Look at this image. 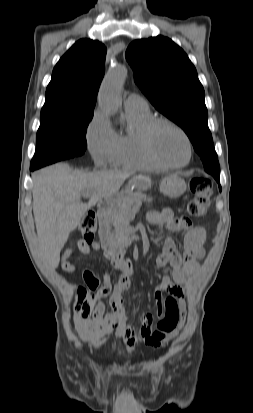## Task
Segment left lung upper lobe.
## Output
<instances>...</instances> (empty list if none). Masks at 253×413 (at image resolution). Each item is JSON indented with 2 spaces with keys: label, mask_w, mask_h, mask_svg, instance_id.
Instances as JSON below:
<instances>
[{
  "label": "left lung upper lobe",
  "mask_w": 253,
  "mask_h": 413,
  "mask_svg": "<svg viewBox=\"0 0 253 413\" xmlns=\"http://www.w3.org/2000/svg\"><path fill=\"white\" fill-rule=\"evenodd\" d=\"M126 59L145 96L188 135L205 171L220 176L204 89L186 53L171 39L157 36L133 41L126 50Z\"/></svg>",
  "instance_id": "left-lung-upper-lobe-1"
}]
</instances>
